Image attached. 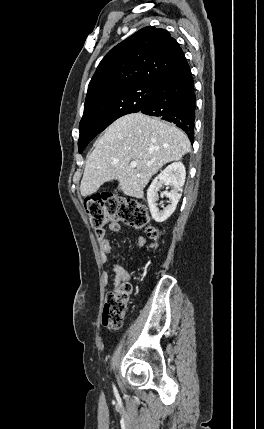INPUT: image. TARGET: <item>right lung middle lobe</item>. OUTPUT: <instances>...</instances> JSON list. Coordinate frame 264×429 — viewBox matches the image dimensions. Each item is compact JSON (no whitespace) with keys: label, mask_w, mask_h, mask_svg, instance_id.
I'll return each mask as SVG.
<instances>
[{"label":"right lung middle lobe","mask_w":264,"mask_h":429,"mask_svg":"<svg viewBox=\"0 0 264 429\" xmlns=\"http://www.w3.org/2000/svg\"><path fill=\"white\" fill-rule=\"evenodd\" d=\"M155 87L154 84H136L85 103L79 128V153H82L88 143L116 119L139 112L153 94Z\"/></svg>","instance_id":"1"}]
</instances>
